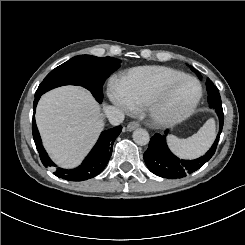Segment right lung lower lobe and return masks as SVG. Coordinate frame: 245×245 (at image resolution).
Here are the masks:
<instances>
[{
	"mask_svg": "<svg viewBox=\"0 0 245 245\" xmlns=\"http://www.w3.org/2000/svg\"><path fill=\"white\" fill-rule=\"evenodd\" d=\"M40 96L35 95L33 109L35 111L37 102ZM32 133L36 148L39 152L40 159L45 167H56V165L50 160L46 151L41 144V138L35 123L33 114ZM122 130L121 126L114 127L107 131L102 132L98 142L85 158L83 163L76 169L65 170L62 168H56L54 175L59 178H63L69 181H83L95 177L103 171L107 165L110 156L112 154V148L115 139L118 137Z\"/></svg>",
	"mask_w": 245,
	"mask_h": 245,
	"instance_id": "1",
	"label": "right lung lower lobe"
}]
</instances>
